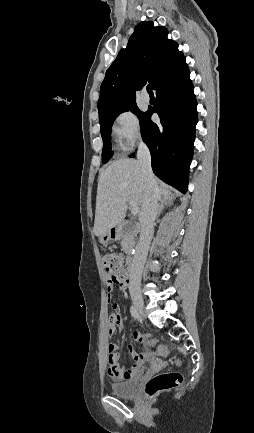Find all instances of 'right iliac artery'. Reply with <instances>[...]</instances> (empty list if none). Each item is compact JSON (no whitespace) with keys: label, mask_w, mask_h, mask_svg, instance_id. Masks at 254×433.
<instances>
[{"label":"right iliac artery","mask_w":254,"mask_h":433,"mask_svg":"<svg viewBox=\"0 0 254 433\" xmlns=\"http://www.w3.org/2000/svg\"><path fill=\"white\" fill-rule=\"evenodd\" d=\"M130 313L134 318H138V312L137 309L134 306H131Z\"/></svg>","instance_id":"82829eb1"}]
</instances>
